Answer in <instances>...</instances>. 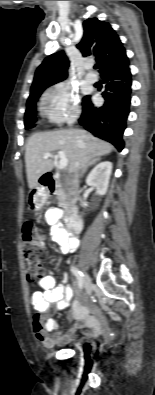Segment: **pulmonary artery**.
Instances as JSON below:
<instances>
[{
    "mask_svg": "<svg viewBox=\"0 0 155 395\" xmlns=\"http://www.w3.org/2000/svg\"><path fill=\"white\" fill-rule=\"evenodd\" d=\"M85 79H86L89 83H94V82L97 81V76H96L94 73L89 72V73L86 74Z\"/></svg>",
    "mask_w": 155,
    "mask_h": 395,
    "instance_id": "pulmonary-artery-1",
    "label": "pulmonary artery"
}]
</instances>
